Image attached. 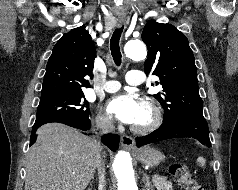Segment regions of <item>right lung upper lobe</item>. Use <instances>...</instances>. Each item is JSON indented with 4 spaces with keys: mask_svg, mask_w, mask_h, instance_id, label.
<instances>
[{
    "mask_svg": "<svg viewBox=\"0 0 238 190\" xmlns=\"http://www.w3.org/2000/svg\"><path fill=\"white\" fill-rule=\"evenodd\" d=\"M96 51L85 26L65 33L56 43L46 66L41 98L80 93L90 87L85 76H92Z\"/></svg>",
    "mask_w": 238,
    "mask_h": 190,
    "instance_id": "obj_1",
    "label": "right lung upper lobe"
}]
</instances>
